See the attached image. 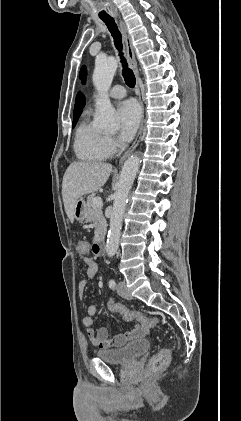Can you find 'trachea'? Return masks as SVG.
I'll return each instance as SVG.
<instances>
[{"mask_svg": "<svg viewBox=\"0 0 241 421\" xmlns=\"http://www.w3.org/2000/svg\"><path fill=\"white\" fill-rule=\"evenodd\" d=\"M104 23L106 24L107 28L111 32V35L114 39L115 47L119 51V56L121 58V63L123 67V77L125 80V83L130 87L133 88L135 86V76L133 71L128 68V64L126 62V59L123 56L122 52V36L120 31L118 30V27L114 21V19H103Z\"/></svg>", "mask_w": 241, "mask_h": 421, "instance_id": "trachea-1", "label": "trachea"}]
</instances>
